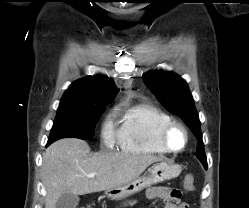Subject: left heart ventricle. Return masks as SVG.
Masks as SVG:
<instances>
[{"label": "left heart ventricle", "mask_w": 249, "mask_h": 208, "mask_svg": "<svg viewBox=\"0 0 249 208\" xmlns=\"http://www.w3.org/2000/svg\"><path fill=\"white\" fill-rule=\"evenodd\" d=\"M169 144L174 148H180L185 142V136L181 129L176 128L168 136Z\"/></svg>", "instance_id": "obj_1"}]
</instances>
